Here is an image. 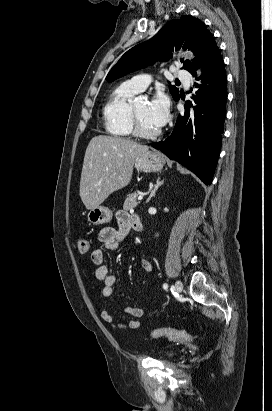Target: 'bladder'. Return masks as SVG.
<instances>
[{
	"label": "bladder",
	"mask_w": 272,
	"mask_h": 411,
	"mask_svg": "<svg viewBox=\"0 0 272 411\" xmlns=\"http://www.w3.org/2000/svg\"><path fill=\"white\" fill-rule=\"evenodd\" d=\"M162 356L165 357V358H173V357L176 356V354L175 353H166V354H163Z\"/></svg>",
	"instance_id": "obj_1"
}]
</instances>
